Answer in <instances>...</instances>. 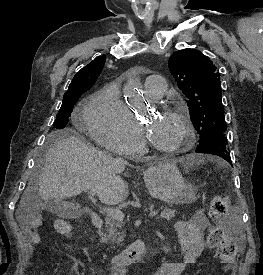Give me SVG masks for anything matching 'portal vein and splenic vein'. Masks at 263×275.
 I'll use <instances>...</instances> for the list:
<instances>
[{
    "instance_id": "portal-vein-and-splenic-vein-1",
    "label": "portal vein and splenic vein",
    "mask_w": 263,
    "mask_h": 275,
    "mask_svg": "<svg viewBox=\"0 0 263 275\" xmlns=\"http://www.w3.org/2000/svg\"><path fill=\"white\" fill-rule=\"evenodd\" d=\"M95 192L93 190H90L88 198L91 200H94ZM108 216H111L112 218L123 221L124 220V213L121 210L113 209V208H104L103 209ZM158 214V210H151L149 216L154 217Z\"/></svg>"
}]
</instances>
